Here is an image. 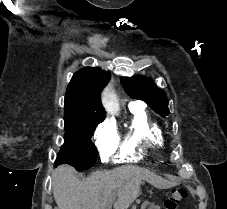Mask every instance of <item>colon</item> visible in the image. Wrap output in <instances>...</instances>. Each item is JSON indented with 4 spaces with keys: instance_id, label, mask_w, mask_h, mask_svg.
<instances>
[{
    "instance_id": "obj_1",
    "label": "colon",
    "mask_w": 227,
    "mask_h": 209,
    "mask_svg": "<svg viewBox=\"0 0 227 209\" xmlns=\"http://www.w3.org/2000/svg\"><path fill=\"white\" fill-rule=\"evenodd\" d=\"M187 195V191L183 188H172L164 200V209H177L178 205L187 198Z\"/></svg>"
}]
</instances>
